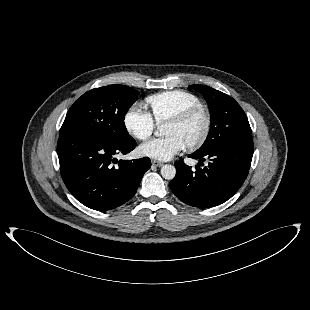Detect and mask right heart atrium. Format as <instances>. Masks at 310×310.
Listing matches in <instances>:
<instances>
[{"mask_svg":"<svg viewBox=\"0 0 310 310\" xmlns=\"http://www.w3.org/2000/svg\"><path fill=\"white\" fill-rule=\"evenodd\" d=\"M123 123L127 132L138 140L148 139L155 129V122L150 114L142 111L137 105L128 108Z\"/></svg>","mask_w":310,"mask_h":310,"instance_id":"d8ad5b80","label":"right heart atrium"}]
</instances>
